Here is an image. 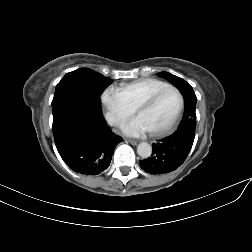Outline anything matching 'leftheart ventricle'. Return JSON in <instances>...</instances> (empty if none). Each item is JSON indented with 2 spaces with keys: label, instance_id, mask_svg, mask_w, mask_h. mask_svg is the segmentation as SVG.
I'll use <instances>...</instances> for the list:
<instances>
[{
  "label": "left heart ventricle",
  "instance_id": "b2bd125f",
  "mask_svg": "<svg viewBox=\"0 0 252 252\" xmlns=\"http://www.w3.org/2000/svg\"><path fill=\"white\" fill-rule=\"evenodd\" d=\"M178 104V95L173 91H167L158 97L151 106L140 110L137 115L148 131L157 130L169 122Z\"/></svg>",
  "mask_w": 252,
  "mask_h": 252
}]
</instances>
